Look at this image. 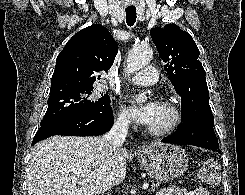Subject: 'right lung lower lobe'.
I'll return each mask as SVG.
<instances>
[{
    "mask_svg": "<svg viewBox=\"0 0 245 195\" xmlns=\"http://www.w3.org/2000/svg\"><path fill=\"white\" fill-rule=\"evenodd\" d=\"M114 123L110 105H99L92 110L68 115L43 125L34 136L32 146L53 135L92 136L110 130Z\"/></svg>",
    "mask_w": 245,
    "mask_h": 195,
    "instance_id": "1",
    "label": "right lung lower lobe"
}]
</instances>
